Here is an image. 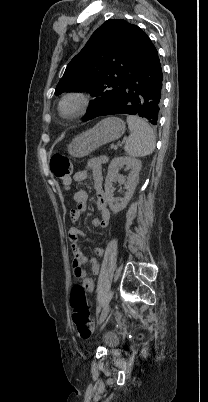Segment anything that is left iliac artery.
Returning a JSON list of instances; mask_svg holds the SVG:
<instances>
[{
  "instance_id": "left-iliac-artery-1",
  "label": "left iliac artery",
  "mask_w": 208,
  "mask_h": 402,
  "mask_svg": "<svg viewBox=\"0 0 208 402\" xmlns=\"http://www.w3.org/2000/svg\"><path fill=\"white\" fill-rule=\"evenodd\" d=\"M100 312V307L97 308V314Z\"/></svg>"
}]
</instances>
